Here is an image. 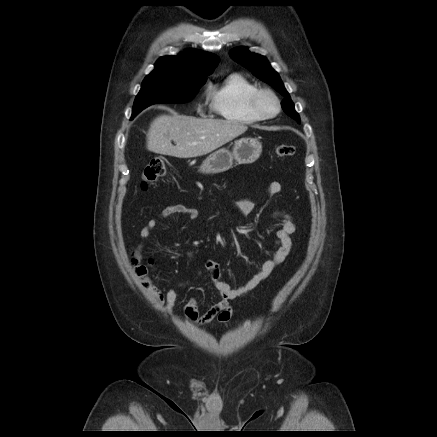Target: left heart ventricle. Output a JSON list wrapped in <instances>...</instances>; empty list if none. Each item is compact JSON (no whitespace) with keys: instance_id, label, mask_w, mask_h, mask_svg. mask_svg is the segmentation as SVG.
Returning <instances> with one entry per match:
<instances>
[{"instance_id":"obj_1","label":"left heart ventricle","mask_w":437,"mask_h":437,"mask_svg":"<svg viewBox=\"0 0 437 437\" xmlns=\"http://www.w3.org/2000/svg\"><path fill=\"white\" fill-rule=\"evenodd\" d=\"M261 107L268 114H272L276 110V104L274 100L269 96H265L262 98Z\"/></svg>"}]
</instances>
